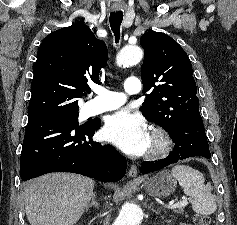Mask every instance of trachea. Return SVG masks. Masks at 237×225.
<instances>
[{"mask_svg":"<svg viewBox=\"0 0 237 225\" xmlns=\"http://www.w3.org/2000/svg\"><path fill=\"white\" fill-rule=\"evenodd\" d=\"M122 20H123V14L122 13H110V18H109V21H110V26H111V29L115 35V40H116V43L119 42V38H120V25L122 23Z\"/></svg>","mask_w":237,"mask_h":225,"instance_id":"1","label":"trachea"}]
</instances>
